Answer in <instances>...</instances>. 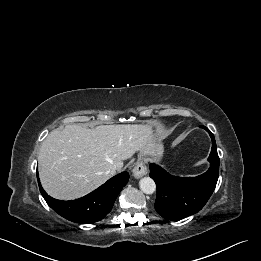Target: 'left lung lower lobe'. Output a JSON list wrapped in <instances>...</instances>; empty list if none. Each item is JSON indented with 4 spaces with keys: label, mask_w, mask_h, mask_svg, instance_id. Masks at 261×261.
Instances as JSON below:
<instances>
[{
    "label": "left lung lower lobe",
    "mask_w": 261,
    "mask_h": 261,
    "mask_svg": "<svg viewBox=\"0 0 261 261\" xmlns=\"http://www.w3.org/2000/svg\"><path fill=\"white\" fill-rule=\"evenodd\" d=\"M208 160L209 169L197 177L181 178L170 175L156 164H150V177L157 186L155 209L163 218L181 219L197 213L212 195L219 176V157L214 135Z\"/></svg>",
    "instance_id": "1"
}]
</instances>
